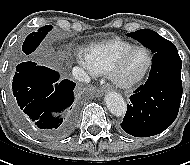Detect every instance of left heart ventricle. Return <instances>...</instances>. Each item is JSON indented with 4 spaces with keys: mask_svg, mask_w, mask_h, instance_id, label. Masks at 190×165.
Listing matches in <instances>:
<instances>
[{
    "mask_svg": "<svg viewBox=\"0 0 190 165\" xmlns=\"http://www.w3.org/2000/svg\"><path fill=\"white\" fill-rule=\"evenodd\" d=\"M147 64L148 54L145 50L133 51L125 60L122 77L128 80L138 77L145 70Z\"/></svg>",
    "mask_w": 190,
    "mask_h": 165,
    "instance_id": "obj_1",
    "label": "left heart ventricle"
}]
</instances>
